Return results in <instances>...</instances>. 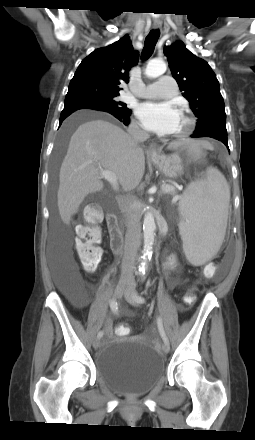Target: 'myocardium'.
I'll return each instance as SVG.
<instances>
[{"label": "myocardium", "instance_id": "1", "mask_svg": "<svg viewBox=\"0 0 255 440\" xmlns=\"http://www.w3.org/2000/svg\"><path fill=\"white\" fill-rule=\"evenodd\" d=\"M181 116L184 120V126L181 130L176 132L175 137L177 138H183L191 133L195 126V120L192 116H190L186 111L181 112Z\"/></svg>", "mask_w": 255, "mask_h": 440}]
</instances>
